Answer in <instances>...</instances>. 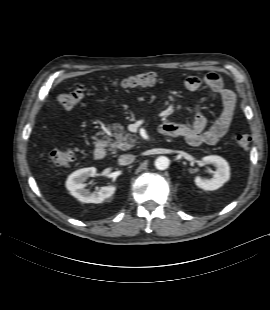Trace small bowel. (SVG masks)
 <instances>
[{
	"mask_svg": "<svg viewBox=\"0 0 270 310\" xmlns=\"http://www.w3.org/2000/svg\"><path fill=\"white\" fill-rule=\"evenodd\" d=\"M184 86L189 91H198L206 86L214 95H218L222 102V110L214 123L206 127V118L201 111H197L190 124L166 122L162 125V132L169 137H182L191 146L202 144L214 145L228 132L236 108V97L233 91L226 88L219 74L209 72L203 78L188 76Z\"/></svg>",
	"mask_w": 270,
	"mask_h": 310,
	"instance_id": "obj_1",
	"label": "small bowel"
}]
</instances>
